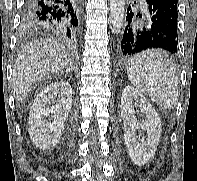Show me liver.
Segmentation results:
<instances>
[{
  "mask_svg": "<svg viewBox=\"0 0 197 181\" xmlns=\"http://www.w3.org/2000/svg\"><path fill=\"white\" fill-rule=\"evenodd\" d=\"M72 59L56 41L38 39L26 45L14 64L12 88L20 102L32 87L48 75L64 74L74 70Z\"/></svg>",
  "mask_w": 197,
  "mask_h": 181,
  "instance_id": "1",
  "label": "liver"
}]
</instances>
